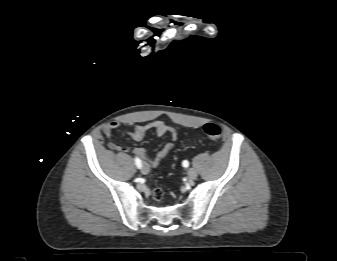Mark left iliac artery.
<instances>
[{
	"instance_id": "44dca946",
	"label": "left iliac artery",
	"mask_w": 337,
	"mask_h": 261,
	"mask_svg": "<svg viewBox=\"0 0 337 261\" xmlns=\"http://www.w3.org/2000/svg\"><path fill=\"white\" fill-rule=\"evenodd\" d=\"M182 166L185 167V168H187L189 166V162L187 160H184L182 162Z\"/></svg>"
}]
</instances>
